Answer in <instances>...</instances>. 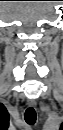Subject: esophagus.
I'll return each instance as SVG.
<instances>
[{
    "mask_svg": "<svg viewBox=\"0 0 63 130\" xmlns=\"http://www.w3.org/2000/svg\"><path fill=\"white\" fill-rule=\"evenodd\" d=\"M28 105H29L30 107H35V106H36V101L30 99V100H28Z\"/></svg>",
    "mask_w": 63,
    "mask_h": 130,
    "instance_id": "1",
    "label": "esophagus"
}]
</instances>
